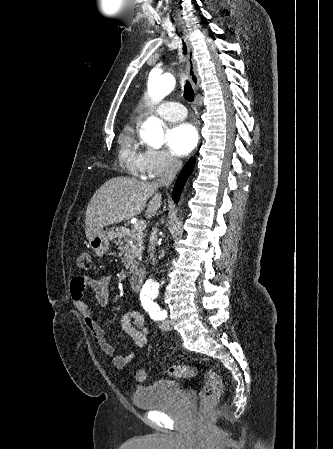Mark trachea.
Returning a JSON list of instances; mask_svg holds the SVG:
<instances>
[{"mask_svg":"<svg viewBox=\"0 0 333 449\" xmlns=\"http://www.w3.org/2000/svg\"><path fill=\"white\" fill-rule=\"evenodd\" d=\"M183 54H187V47L185 43H183ZM184 98L189 102H192L194 100V91L188 80H186L184 84Z\"/></svg>","mask_w":333,"mask_h":449,"instance_id":"3493384b","label":"trachea"}]
</instances>
